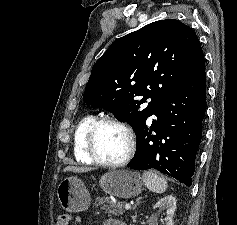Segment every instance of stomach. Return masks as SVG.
Returning a JSON list of instances; mask_svg holds the SVG:
<instances>
[{"label":"stomach","mask_w":237,"mask_h":225,"mask_svg":"<svg viewBox=\"0 0 237 225\" xmlns=\"http://www.w3.org/2000/svg\"><path fill=\"white\" fill-rule=\"evenodd\" d=\"M102 190L119 198H132L139 195L143 181L129 170H111L99 180ZM57 197L61 207L69 212H81L90 204V194L84 183L77 177L63 179L57 187Z\"/></svg>","instance_id":"stomach-1"}]
</instances>
